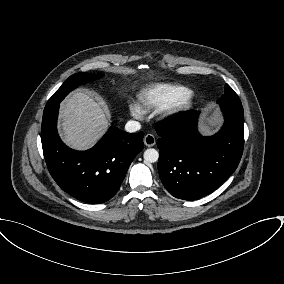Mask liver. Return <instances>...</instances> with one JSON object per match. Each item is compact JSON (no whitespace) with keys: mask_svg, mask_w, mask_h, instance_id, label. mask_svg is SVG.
I'll use <instances>...</instances> for the list:
<instances>
[{"mask_svg":"<svg viewBox=\"0 0 284 284\" xmlns=\"http://www.w3.org/2000/svg\"><path fill=\"white\" fill-rule=\"evenodd\" d=\"M60 120L64 142L78 150L93 146L109 127L101 106L82 92L72 94L61 103Z\"/></svg>","mask_w":284,"mask_h":284,"instance_id":"obj_1","label":"liver"}]
</instances>
